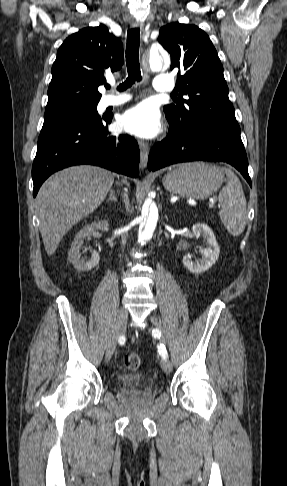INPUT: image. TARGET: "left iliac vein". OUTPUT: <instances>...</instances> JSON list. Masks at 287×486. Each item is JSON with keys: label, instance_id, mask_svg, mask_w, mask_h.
<instances>
[{"label": "left iliac vein", "instance_id": "obj_1", "mask_svg": "<svg viewBox=\"0 0 287 486\" xmlns=\"http://www.w3.org/2000/svg\"><path fill=\"white\" fill-rule=\"evenodd\" d=\"M150 320L152 322V324L155 326V331L157 334H161V320L157 317V316H154L152 315L150 317ZM163 342H165V339H161ZM162 369L165 373H170L171 370H172V364L170 362L169 359L165 358L163 361H162Z\"/></svg>", "mask_w": 287, "mask_h": 486}]
</instances>
